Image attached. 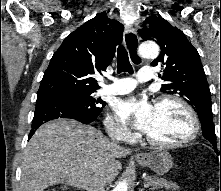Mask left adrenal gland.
Returning <instances> with one entry per match:
<instances>
[{"label": "left adrenal gland", "mask_w": 221, "mask_h": 191, "mask_svg": "<svg viewBox=\"0 0 221 191\" xmlns=\"http://www.w3.org/2000/svg\"><path fill=\"white\" fill-rule=\"evenodd\" d=\"M139 191H143V188H141Z\"/></svg>", "instance_id": "left-adrenal-gland-1"}]
</instances>
